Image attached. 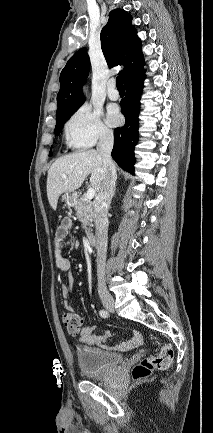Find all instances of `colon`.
Listing matches in <instances>:
<instances>
[{
  "instance_id": "1",
  "label": "colon",
  "mask_w": 213,
  "mask_h": 433,
  "mask_svg": "<svg viewBox=\"0 0 213 433\" xmlns=\"http://www.w3.org/2000/svg\"><path fill=\"white\" fill-rule=\"evenodd\" d=\"M62 321L67 330L75 334L82 326V317L79 312L74 309H67L62 315ZM174 358V351L171 345L164 344L159 348L156 355L144 358L132 370V377L134 380H142L152 374L154 370H161L168 368Z\"/></svg>"
}]
</instances>
